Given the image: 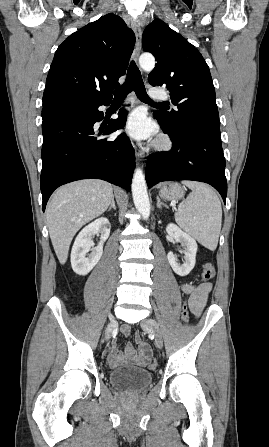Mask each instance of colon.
Returning <instances> with one entry per match:
<instances>
[{
    "instance_id": "obj_1",
    "label": "colon",
    "mask_w": 269,
    "mask_h": 447,
    "mask_svg": "<svg viewBox=\"0 0 269 447\" xmlns=\"http://www.w3.org/2000/svg\"><path fill=\"white\" fill-rule=\"evenodd\" d=\"M216 274V268L214 266V264L208 262L203 266L202 269V279L206 282L212 281L215 277ZM180 305L183 307V315H182V320L183 323H186V320L188 319V313H189V308H188V302L186 300H182L180 302ZM144 354L146 355H150L151 354V350L149 348H144L143 349ZM146 366H148V368L150 369H155L156 367V362L155 360H149L146 363Z\"/></svg>"
}]
</instances>
